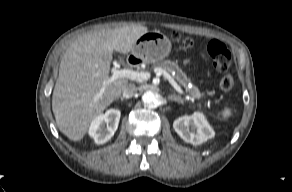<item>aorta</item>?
Here are the masks:
<instances>
[{"mask_svg":"<svg viewBox=\"0 0 292 192\" xmlns=\"http://www.w3.org/2000/svg\"><path fill=\"white\" fill-rule=\"evenodd\" d=\"M142 101L145 106L149 108H155L159 105V96L153 91H146L142 95Z\"/></svg>","mask_w":292,"mask_h":192,"instance_id":"aorta-1","label":"aorta"}]
</instances>
